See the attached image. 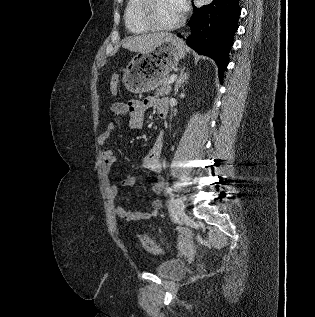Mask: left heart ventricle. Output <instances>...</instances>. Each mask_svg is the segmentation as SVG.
<instances>
[{"label": "left heart ventricle", "instance_id": "left-heart-ventricle-1", "mask_svg": "<svg viewBox=\"0 0 315 317\" xmlns=\"http://www.w3.org/2000/svg\"><path fill=\"white\" fill-rule=\"evenodd\" d=\"M153 15L160 24H171L181 16L173 0H156Z\"/></svg>", "mask_w": 315, "mask_h": 317}]
</instances>
